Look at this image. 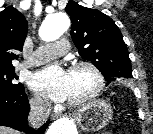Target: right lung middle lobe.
<instances>
[{"instance_id":"1","label":"right lung middle lobe","mask_w":153,"mask_h":134,"mask_svg":"<svg viewBox=\"0 0 153 134\" xmlns=\"http://www.w3.org/2000/svg\"><path fill=\"white\" fill-rule=\"evenodd\" d=\"M18 77L15 75V68L13 66L0 68V89L17 91L23 89L21 83H16Z\"/></svg>"}]
</instances>
